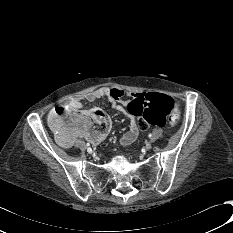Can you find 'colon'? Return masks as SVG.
Instances as JSON below:
<instances>
[{
	"label": "colon",
	"instance_id": "5ec220e1",
	"mask_svg": "<svg viewBox=\"0 0 233 233\" xmlns=\"http://www.w3.org/2000/svg\"><path fill=\"white\" fill-rule=\"evenodd\" d=\"M127 113L139 118L137 125L142 131L151 126H176L180 113L175 101L160 93L141 92L131 97L126 104ZM71 114L66 105L57 106L49 117L50 127L55 135H63L72 130H83L89 134L103 132L110 124V118L103 111H85L74 118L73 124L66 125L65 120Z\"/></svg>",
	"mask_w": 233,
	"mask_h": 233
}]
</instances>
